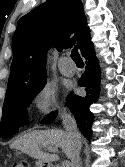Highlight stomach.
Instances as JSON below:
<instances>
[{"label":"stomach","mask_w":125,"mask_h":167,"mask_svg":"<svg viewBox=\"0 0 125 167\" xmlns=\"http://www.w3.org/2000/svg\"><path fill=\"white\" fill-rule=\"evenodd\" d=\"M15 154L17 156H21L23 154V152L16 150ZM36 167H50L49 164H46L45 162L42 161H37L36 162Z\"/></svg>","instance_id":"obj_1"}]
</instances>
